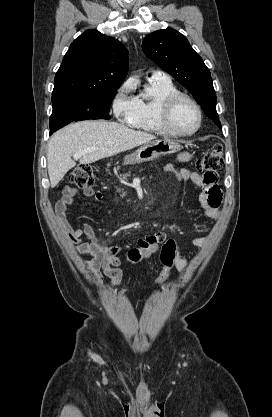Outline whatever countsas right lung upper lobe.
Wrapping results in <instances>:
<instances>
[{
  "label": "right lung upper lobe",
  "mask_w": 272,
  "mask_h": 417,
  "mask_svg": "<svg viewBox=\"0 0 272 417\" xmlns=\"http://www.w3.org/2000/svg\"><path fill=\"white\" fill-rule=\"evenodd\" d=\"M128 71L125 47L96 30L75 39L56 73L52 95L119 88Z\"/></svg>",
  "instance_id": "right-lung-upper-lobe-1"
}]
</instances>
